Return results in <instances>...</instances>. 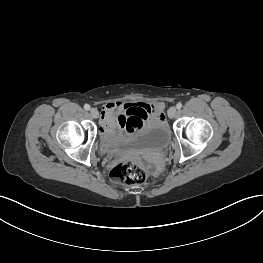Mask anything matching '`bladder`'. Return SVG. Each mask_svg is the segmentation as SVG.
<instances>
[{
	"label": "bladder",
	"mask_w": 263,
	"mask_h": 263,
	"mask_svg": "<svg viewBox=\"0 0 263 263\" xmlns=\"http://www.w3.org/2000/svg\"><path fill=\"white\" fill-rule=\"evenodd\" d=\"M170 133L167 123L160 113L154 112L151 118L130 137H105L104 144L109 151L136 145L142 148H163L169 143Z\"/></svg>",
	"instance_id": "obj_1"
}]
</instances>
